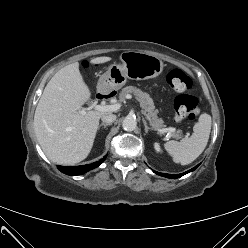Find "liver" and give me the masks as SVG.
I'll return each instance as SVG.
<instances>
[{"instance_id":"liver-1","label":"liver","mask_w":248,"mask_h":248,"mask_svg":"<svg viewBox=\"0 0 248 248\" xmlns=\"http://www.w3.org/2000/svg\"><path fill=\"white\" fill-rule=\"evenodd\" d=\"M111 59L97 57L89 63L98 65ZM90 97L78 62L60 69L46 85L35 110L34 130L43 152L52 162L72 165L89 155L99 120L109 114L92 110L82 115V105Z\"/></svg>"}]
</instances>
